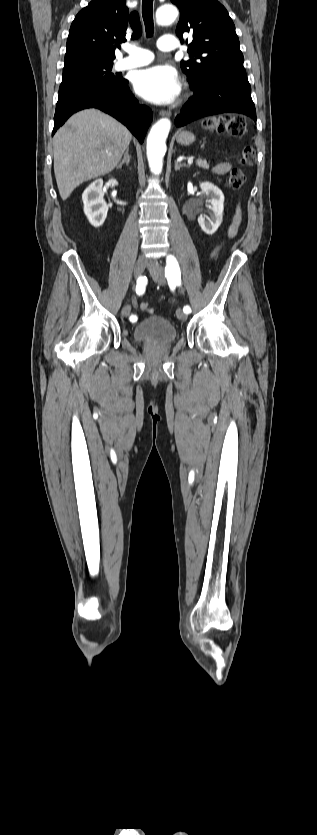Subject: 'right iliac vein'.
Returning a JSON list of instances; mask_svg holds the SVG:
<instances>
[{
    "mask_svg": "<svg viewBox=\"0 0 317 835\" xmlns=\"http://www.w3.org/2000/svg\"><path fill=\"white\" fill-rule=\"evenodd\" d=\"M146 266H147V260L144 257H139L136 264H135V267H134L135 276L136 277L141 276L142 273L144 272ZM130 310H131L130 306H128V305L124 306L122 308V311H121L122 316L128 317L129 314H130Z\"/></svg>",
    "mask_w": 317,
    "mask_h": 835,
    "instance_id": "obj_1",
    "label": "right iliac vein"
}]
</instances>
